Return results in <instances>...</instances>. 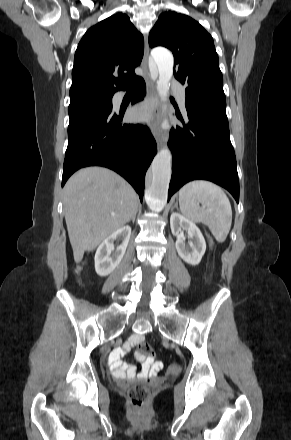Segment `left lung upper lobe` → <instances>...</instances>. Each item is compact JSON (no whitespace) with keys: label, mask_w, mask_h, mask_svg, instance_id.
Segmentation results:
<instances>
[{"label":"left lung upper lobe","mask_w":291,"mask_h":440,"mask_svg":"<svg viewBox=\"0 0 291 440\" xmlns=\"http://www.w3.org/2000/svg\"><path fill=\"white\" fill-rule=\"evenodd\" d=\"M151 47L174 54V75L186 85V95L226 103L223 76L211 35L191 17L162 13L149 34Z\"/></svg>","instance_id":"left-lung-upper-lobe-1"}]
</instances>
